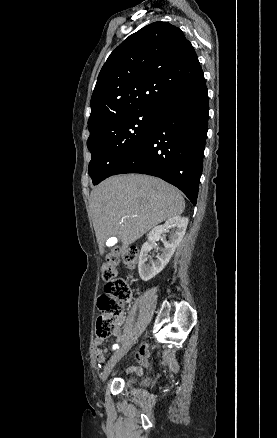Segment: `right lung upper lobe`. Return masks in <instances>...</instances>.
I'll return each mask as SVG.
<instances>
[{
  "label": "right lung upper lobe",
  "mask_w": 277,
  "mask_h": 438,
  "mask_svg": "<svg viewBox=\"0 0 277 438\" xmlns=\"http://www.w3.org/2000/svg\"><path fill=\"white\" fill-rule=\"evenodd\" d=\"M201 76L196 52L183 32L168 22L151 23L124 40L103 65L88 128L114 116L157 109L162 99Z\"/></svg>",
  "instance_id": "1"
}]
</instances>
